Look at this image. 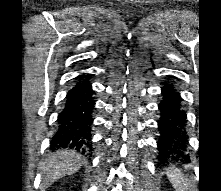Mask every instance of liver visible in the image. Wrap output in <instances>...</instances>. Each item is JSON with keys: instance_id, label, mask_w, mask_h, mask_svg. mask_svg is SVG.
Instances as JSON below:
<instances>
[{"instance_id": "liver-1", "label": "liver", "mask_w": 221, "mask_h": 191, "mask_svg": "<svg viewBox=\"0 0 221 191\" xmlns=\"http://www.w3.org/2000/svg\"><path fill=\"white\" fill-rule=\"evenodd\" d=\"M81 161L82 156L75 151H57L42 169V187L45 188L59 178L77 172L82 166Z\"/></svg>"}]
</instances>
